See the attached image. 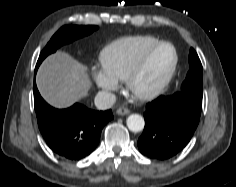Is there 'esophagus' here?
Returning a JSON list of instances; mask_svg holds the SVG:
<instances>
[{
    "label": "esophagus",
    "mask_w": 236,
    "mask_h": 187,
    "mask_svg": "<svg viewBox=\"0 0 236 187\" xmlns=\"http://www.w3.org/2000/svg\"><path fill=\"white\" fill-rule=\"evenodd\" d=\"M116 113L118 114V115H127V114H129L130 113V110L128 109V108H125V107H121V108H118L117 110H116Z\"/></svg>",
    "instance_id": "obj_1"
}]
</instances>
